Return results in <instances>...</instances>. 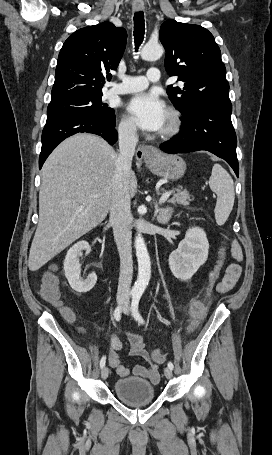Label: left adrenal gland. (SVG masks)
<instances>
[{
  "label": "left adrenal gland",
  "instance_id": "1",
  "mask_svg": "<svg viewBox=\"0 0 272 455\" xmlns=\"http://www.w3.org/2000/svg\"><path fill=\"white\" fill-rule=\"evenodd\" d=\"M173 213V209L171 207L159 208V204L156 203L155 205V216L157 221L161 224H166Z\"/></svg>",
  "mask_w": 272,
  "mask_h": 455
}]
</instances>
